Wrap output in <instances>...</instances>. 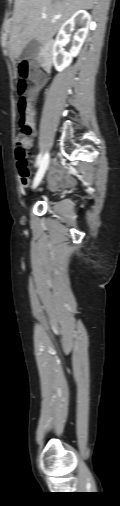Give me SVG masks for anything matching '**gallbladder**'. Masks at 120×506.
I'll return each instance as SVG.
<instances>
[{"instance_id": "gallbladder-1", "label": "gallbladder", "mask_w": 120, "mask_h": 506, "mask_svg": "<svg viewBox=\"0 0 120 506\" xmlns=\"http://www.w3.org/2000/svg\"><path fill=\"white\" fill-rule=\"evenodd\" d=\"M39 43L37 40L33 39L24 47L20 57L23 59H30L35 56L38 52Z\"/></svg>"}]
</instances>
